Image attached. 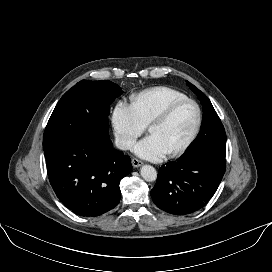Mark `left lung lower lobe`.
<instances>
[{
	"mask_svg": "<svg viewBox=\"0 0 272 272\" xmlns=\"http://www.w3.org/2000/svg\"><path fill=\"white\" fill-rule=\"evenodd\" d=\"M225 169V157L207 151L186 152L177 161L159 168L151 197L167 213L192 214L213 197Z\"/></svg>",
	"mask_w": 272,
	"mask_h": 272,
	"instance_id": "obj_1",
	"label": "left lung lower lobe"
}]
</instances>
